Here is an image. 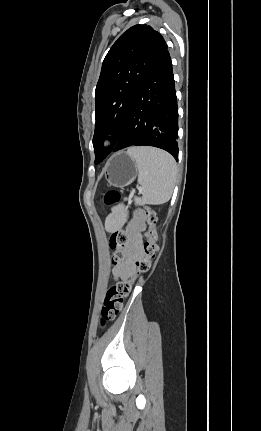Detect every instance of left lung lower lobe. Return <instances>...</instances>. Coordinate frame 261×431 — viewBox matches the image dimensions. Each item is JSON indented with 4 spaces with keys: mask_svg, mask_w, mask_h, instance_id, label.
Segmentation results:
<instances>
[{
    "mask_svg": "<svg viewBox=\"0 0 261 431\" xmlns=\"http://www.w3.org/2000/svg\"><path fill=\"white\" fill-rule=\"evenodd\" d=\"M178 109L168 50L147 74L127 114L113 151L129 146H154L178 160Z\"/></svg>",
    "mask_w": 261,
    "mask_h": 431,
    "instance_id": "obj_1",
    "label": "left lung lower lobe"
}]
</instances>
